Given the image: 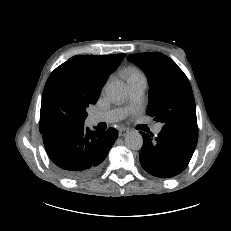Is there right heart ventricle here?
I'll use <instances>...</instances> for the list:
<instances>
[{
    "label": "right heart ventricle",
    "mask_w": 231,
    "mask_h": 231,
    "mask_svg": "<svg viewBox=\"0 0 231 231\" xmlns=\"http://www.w3.org/2000/svg\"><path fill=\"white\" fill-rule=\"evenodd\" d=\"M123 76L127 80L128 85L135 82L146 81L144 74L137 68H127L123 71Z\"/></svg>",
    "instance_id": "1"
}]
</instances>
